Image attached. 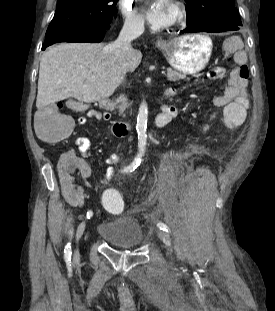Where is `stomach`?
I'll use <instances>...</instances> for the list:
<instances>
[{
	"instance_id": "0dacf381",
	"label": "stomach",
	"mask_w": 275,
	"mask_h": 311,
	"mask_svg": "<svg viewBox=\"0 0 275 311\" xmlns=\"http://www.w3.org/2000/svg\"><path fill=\"white\" fill-rule=\"evenodd\" d=\"M158 48L171 67L183 74L194 75L208 64L213 44L206 35L190 34L158 44Z\"/></svg>"
}]
</instances>
